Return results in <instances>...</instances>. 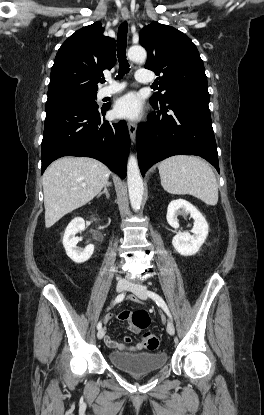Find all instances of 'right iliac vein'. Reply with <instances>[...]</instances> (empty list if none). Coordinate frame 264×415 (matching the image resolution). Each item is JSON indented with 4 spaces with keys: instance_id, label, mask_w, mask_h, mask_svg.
I'll return each mask as SVG.
<instances>
[{
    "instance_id": "63e3f726",
    "label": "right iliac vein",
    "mask_w": 264,
    "mask_h": 415,
    "mask_svg": "<svg viewBox=\"0 0 264 415\" xmlns=\"http://www.w3.org/2000/svg\"><path fill=\"white\" fill-rule=\"evenodd\" d=\"M127 286H128V282L126 280H120L117 283L116 290L117 292H122L127 288ZM104 335H105V329L101 328L97 333V338L102 339Z\"/></svg>"
}]
</instances>
